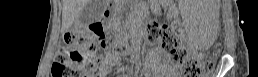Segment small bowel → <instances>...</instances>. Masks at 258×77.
Wrapping results in <instances>:
<instances>
[{"mask_svg": "<svg viewBox=\"0 0 258 77\" xmlns=\"http://www.w3.org/2000/svg\"><path fill=\"white\" fill-rule=\"evenodd\" d=\"M120 55L115 52L106 53L99 57V66L95 72V77H103L109 73L111 68L118 64ZM149 68L160 73L173 74L174 72L168 65L162 66L154 57L150 56Z\"/></svg>", "mask_w": 258, "mask_h": 77, "instance_id": "c3829d8e", "label": "small bowel"}]
</instances>
